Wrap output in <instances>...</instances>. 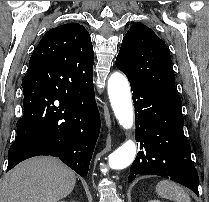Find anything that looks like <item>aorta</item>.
Returning a JSON list of instances; mask_svg holds the SVG:
<instances>
[{
  "label": "aorta",
  "instance_id": "obj_1",
  "mask_svg": "<svg viewBox=\"0 0 209 202\" xmlns=\"http://www.w3.org/2000/svg\"><path fill=\"white\" fill-rule=\"evenodd\" d=\"M107 89L116 119L124 129H131L134 125V112L127 78L120 72L112 73ZM136 152L135 141L128 138L109 156V167L117 170L128 167L133 162Z\"/></svg>",
  "mask_w": 209,
  "mask_h": 202
}]
</instances>
